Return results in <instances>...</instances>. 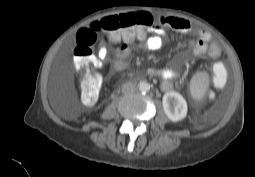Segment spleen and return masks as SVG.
Wrapping results in <instances>:
<instances>
[{
	"mask_svg": "<svg viewBox=\"0 0 255 177\" xmlns=\"http://www.w3.org/2000/svg\"><path fill=\"white\" fill-rule=\"evenodd\" d=\"M208 76L206 73H197L191 80V94L196 99H201L208 88Z\"/></svg>",
	"mask_w": 255,
	"mask_h": 177,
	"instance_id": "obj_1",
	"label": "spleen"
}]
</instances>
